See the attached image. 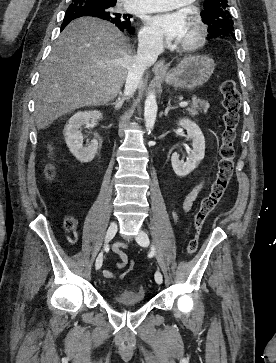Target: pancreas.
Wrapping results in <instances>:
<instances>
[{
	"mask_svg": "<svg viewBox=\"0 0 276 363\" xmlns=\"http://www.w3.org/2000/svg\"><path fill=\"white\" fill-rule=\"evenodd\" d=\"M210 104L208 101L197 99L196 97L192 98L191 107H188L186 110L191 116L198 115L199 111L203 112L204 114L207 113Z\"/></svg>",
	"mask_w": 276,
	"mask_h": 363,
	"instance_id": "obj_1",
	"label": "pancreas"
}]
</instances>
